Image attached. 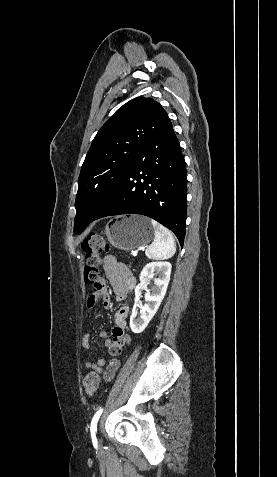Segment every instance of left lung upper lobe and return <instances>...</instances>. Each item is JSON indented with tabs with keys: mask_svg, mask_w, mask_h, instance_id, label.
<instances>
[{
	"mask_svg": "<svg viewBox=\"0 0 277 477\" xmlns=\"http://www.w3.org/2000/svg\"><path fill=\"white\" fill-rule=\"evenodd\" d=\"M170 119L151 98H134L118 109L92 141L78 179L74 233L84 230L105 205L129 163Z\"/></svg>",
	"mask_w": 277,
	"mask_h": 477,
	"instance_id": "1",
	"label": "left lung upper lobe"
}]
</instances>
